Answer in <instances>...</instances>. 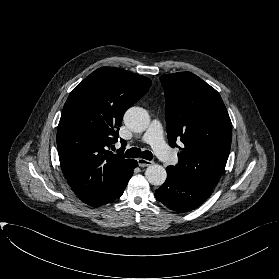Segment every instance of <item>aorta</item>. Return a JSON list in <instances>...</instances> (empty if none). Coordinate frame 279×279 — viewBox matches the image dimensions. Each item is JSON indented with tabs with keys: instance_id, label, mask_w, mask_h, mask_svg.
I'll use <instances>...</instances> for the list:
<instances>
[{
	"instance_id": "1",
	"label": "aorta",
	"mask_w": 279,
	"mask_h": 279,
	"mask_svg": "<svg viewBox=\"0 0 279 279\" xmlns=\"http://www.w3.org/2000/svg\"><path fill=\"white\" fill-rule=\"evenodd\" d=\"M125 125L133 132L145 131L150 123V117L147 111L140 107H131L124 114ZM145 177L152 185H162L167 177L164 167L158 164H153L147 167Z\"/></svg>"
}]
</instances>
